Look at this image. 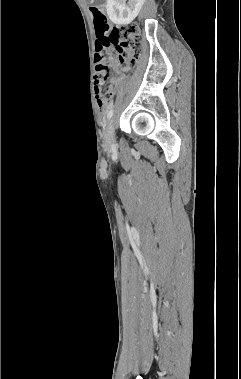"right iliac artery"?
<instances>
[{"label":"right iliac artery","instance_id":"82829eb1","mask_svg":"<svg viewBox=\"0 0 241 379\" xmlns=\"http://www.w3.org/2000/svg\"><path fill=\"white\" fill-rule=\"evenodd\" d=\"M112 116H113V110L111 109V110L108 112L107 118H108V119H111Z\"/></svg>","mask_w":241,"mask_h":379}]
</instances>
